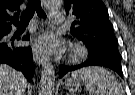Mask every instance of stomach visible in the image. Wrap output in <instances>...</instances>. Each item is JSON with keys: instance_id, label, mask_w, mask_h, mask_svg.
<instances>
[{"instance_id": "stomach-1", "label": "stomach", "mask_w": 135, "mask_h": 95, "mask_svg": "<svg viewBox=\"0 0 135 95\" xmlns=\"http://www.w3.org/2000/svg\"><path fill=\"white\" fill-rule=\"evenodd\" d=\"M65 87L70 92H77L81 88V80L77 76H71L65 80Z\"/></svg>"}]
</instances>
